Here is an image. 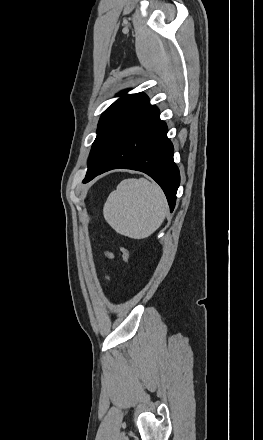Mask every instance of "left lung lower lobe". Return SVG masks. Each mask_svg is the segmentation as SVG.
Segmentation results:
<instances>
[{
  "instance_id": "obj_1",
  "label": "left lung lower lobe",
  "mask_w": 263,
  "mask_h": 440,
  "mask_svg": "<svg viewBox=\"0 0 263 440\" xmlns=\"http://www.w3.org/2000/svg\"><path fill=\"white\" fill-rule=\"evenodd\" d=\"M173 153V145L167 138V126L160 120L158 108L148 101L130 122L105 166L85 177L83 183L112 169L141 171L161 186L172 211L180 183Z\"/></svg>"
}]
</instances>
